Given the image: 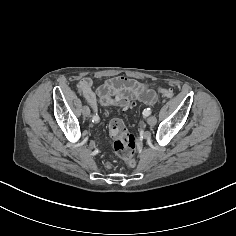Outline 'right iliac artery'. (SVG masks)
Here are the masks:
<instances>
[{
    "label": "right iliac artery",
    "instance_id": "1",
    "mask_svg": "<svg viewBox=\"0 0 236 236\" xmlns=\"http://www.w3.org/2000/svg\"><path fill=\"white\" fill-rule=\"evenodd\" d=\"M98 121H99V117H98L97 115H94V116L92 117V122L97 123Z\"/></svg>",
    "mask_w": 236,
    "mask_h": 236
}]
</instances>
